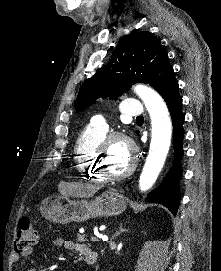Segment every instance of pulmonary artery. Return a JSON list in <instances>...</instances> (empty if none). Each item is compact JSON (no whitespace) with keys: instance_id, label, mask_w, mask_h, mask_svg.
I'll list each match as a JSON object with an SVG mask.
<instances>
[{"instance_id":"e3ab8cb5","label":"pulmonary artery","mask_w":221,"mask_h":271,"mask_svg":"<svg viewBox=\"0 0 221 271\" xmlns=\"http://www.w3.org/2000/svg\"><path fill=\"white\" fill-rule=\"evenodd\" d=\"M119 111L122 117H137V112H144L143 102H136L135 98H125ZM100 117H92V122H87V127H107V112H100ZM111 120V119H110ZM95 133H109V128H81V138H95Z\"/></svg>"}]
</instances>
